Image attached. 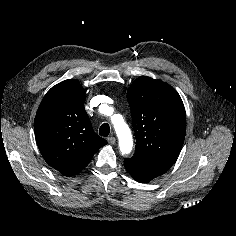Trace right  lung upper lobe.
Instances as JSON below:
<instances>
[{"label": "right lung upper lobe", "instance_id": "cb5924a9", "mask_svg": "<svg viewBox=\"0 0 236 236\" xmlns=\"http://www.w3.org/2000/svg\"><path fill=\"white\" fill-rule=\"evenodd\" d=\"M85 91L75 79L52 87L35 120L37 145L44 160L65 176L82 171L107 141L92 129L84 109Z\"/></svg>", "mask_w": 236, "mask_h": 236}]
</instances>
